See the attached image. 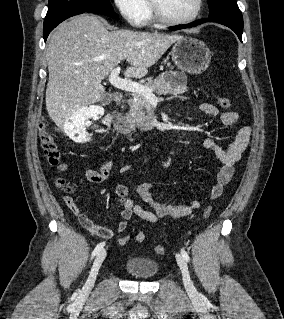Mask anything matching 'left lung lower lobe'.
<instances>
[{"instance_id": "left-lung-lower-lobe-1", "label": "left lung lower lobe", "mask_w": 284, "mask_h": 319, "mask_svg": "<svg viewBox=\"0 0 284 319\" xmlns=\"http://www.w3.org/2000/svg\"><path fill=\"white\" fill-rule=\"evenodd\" d=\"M205 22H216V23H220L222 25L229 27L237 34L240 41H242V31H243V26H244L243 20H239V19H235V18H231V17H209L207 19L199 20L193 24L173 27V28H171V30L185 29V28L193 27V26H196L198 24L205 23Z\"/></svg>"}]
</instances>
